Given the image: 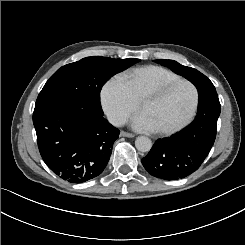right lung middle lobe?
Segmentation results:
<instances>
[{"label":"right lung middle lobe","instance_id":"right-lung-middle-lobe-1","mask_svg":"<svg viewBox=\"0 0 245 245\" xmlns=\"http://www.w3.org/2000/svg\"><path fill=\"white\" fill-rule=\"evenodd\" d=\"M139 59L86 57L59 68L46 82L36 100L35 109L50 104L80 106L95 116H103L100 91L115 73L121 72Z\"/></svg>","mask_w":245,"mask_h":245}]
</instances>
